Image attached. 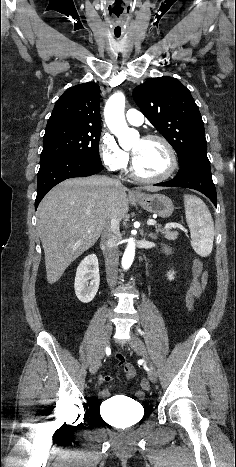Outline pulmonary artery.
Wrapping results in <instances>:
<instances>
[{"instance_id": "pulmonary-artery-1", "label": "pulmonary artery", "mask_w": 236, "mask_h": 467, "mask_svg": "<svg viewBox=\"0 0 236 467\" xmlns=\"http://www.w3.org/2000/svg\"><path fill=\"white\" fill-rule=\"evenodd\" d=\"M126 119L130 124L136 126L142 125L144 122L143 114L136 109H129L126 112Z\"/></svg>"}]
</instances>
